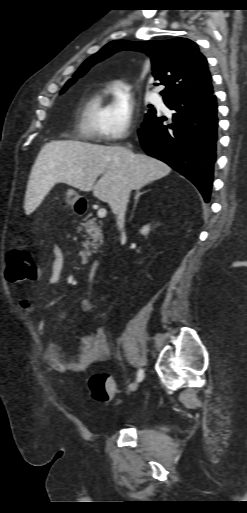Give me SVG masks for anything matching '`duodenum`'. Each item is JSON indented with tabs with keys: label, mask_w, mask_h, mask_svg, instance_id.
Returning <instances> with one entry per match:
<instances>
[{
	"label": "duodenum",
	"mask_w": 247,
	"mask_h": 513,
	"mask_svg": "<svg viewBox=\"0 0 247 513\" xmlns=\"http://www.w3.org/2000/svg\"><path fill=\"white\" fill-rule=\"evenodd\" d=\"M82 209V212L86 211V205H83L81 207ZM99 267V261H94L92 264H91V271L95 272L97 270V268Z\"/></svg>",
	"instance_id": "410a0bca"
}]
</instances>
